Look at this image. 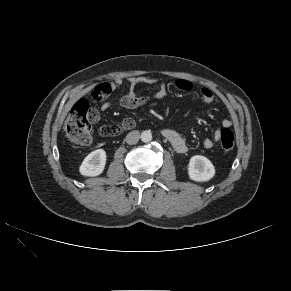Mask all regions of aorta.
<instances>
[{
    "label": "aorta",
    "mask_w": 291,
    "mask_h": 291,
    "mask_svg": "<svg viewBox=\"0 0 291 291\" xmlns=\"http://www.w3.org/2000/svg\"><path fill=\"white\" fill-rule=\"evenodd\" d=\"M140 137L144 143H148L152 140V133L150 131L146 130V131H143L141 133Z\"/></svg>",
    "instance_id": "762f6f07"
}]
</instances>
